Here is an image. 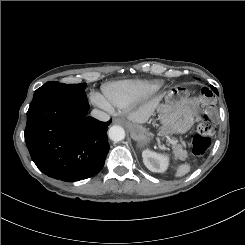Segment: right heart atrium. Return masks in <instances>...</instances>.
Masks as SVG:
<instances>
[{"label":"right heart atrium","mask_w":245,"mask_h":245,"mask_svg":"<svg viewBox=\"0 0 245 245\" xmlns=\"http://www.w3.org/2000/svg\"><path fill=\"white\" fill-rule=\"evenodd\" d=\"M93 102L104 110L112 111V106L109 104V102L99 94H95L93 96Z\"/></svg>","instance_id":"obj_1"}]
</instances>
